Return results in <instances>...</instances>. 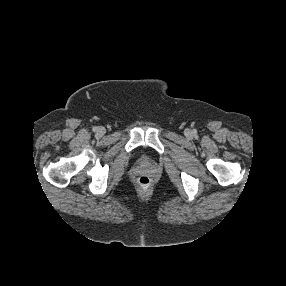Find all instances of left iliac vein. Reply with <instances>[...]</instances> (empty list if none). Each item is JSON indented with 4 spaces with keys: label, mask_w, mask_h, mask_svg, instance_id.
Here are the masks:
<instances>
[{
    "label": "left iliac vein",
    "mask_w": 286,
    "mask_h": 286,
    "mask_svg": "<svg viewBox=\"0 0 286 286\" xmlns=\"http://www.w3.org/2000/svg\"><path fill=\"white\" fill-rule=\"evenodd\" d=\"M186 134H187L188 136H190V135H191V131L188 130V131L186 132Z\"/></svg>",
    "instance_id": "4c4485c4"
}]
</instances>
